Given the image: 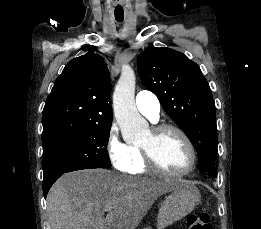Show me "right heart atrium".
<instances>
[{"mask_svg": "<svg viewBox=\"0 0 261 229\" xmlns=\"http://www.w3.org/2000/svg\"><path fill=\"white\" fill-rule=\"evenodd\" d=\"M105 149L112 166L123 173L129 172L134 164V154L130 144L124 142L119 135L116 124L108 130Z\"/></svg>", "mask_w": 261, "mask_h": 229, "instance_id": "1", "label": "right heart atrium"}]
</instances>
